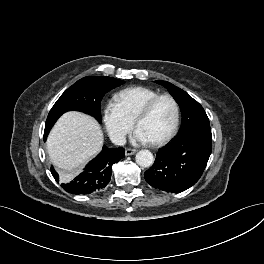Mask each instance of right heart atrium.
Returning <instances> with one entry per match:
<instances>
[{
  "instance_id": "d8ad5b80",
  "label": "right heart atrium",
  "mask_w": 264,
  "mask_h": 264,
  "mask_svg": "<svg viewBox=\"0 0 264 264\" xmlns=\"http://www.w3.org/2000/svg\"><path fill=\"white\" fill-rule=\"evenodd\" d=\"M102 121L111 140L116 144H122L133 127V121L121 111L115 102L111 101L103 107Z\"/></svg>"
}]
</instances>
